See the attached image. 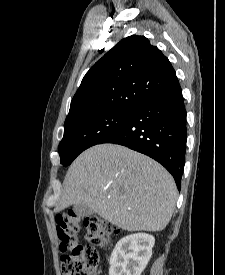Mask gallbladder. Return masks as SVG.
I'll use <instances>...</instances> for the list:
<instances>
[{
	"label": "gallbladder",
	"instance_id": "1",
	"mask_svg": "<svg viewBox=\"0 0 225 275\" xmlns=\"http://www.w3.org/2000/svg\"><path fill=\"white\" fill-rule=\"evenodd\" d=\"M73 210L80 217L90 215L92 213V210L85 204H75L73 206Z\"/></svg>",
	"mask_w": 225,
	"mask_h": 275
}]
</instances>
